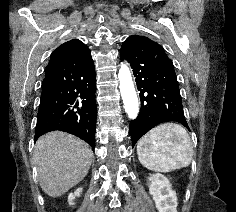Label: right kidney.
I'll list each match as a JSON object with an SVG mask.
<instances>
[{"mask_svg": "<svg viewBox=\"0 0 236 212\" xmlns=\"http://www.w3.org/2000/svg\"><path fill=\"white\" fill-rule=\"evenodd\" d=\"M81 192H82V188H78L74 193L69 194L68 202H69L70 205L74 204L73 200L75 199V197H79Z\"/></svg>", "mask_w": 236, "mask_h": 212, "instance_id": "ca27d5eb", "label": "right kidney"}]
</instances>
